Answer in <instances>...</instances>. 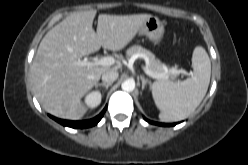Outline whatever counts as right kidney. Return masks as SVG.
<instances>
[{
	"instance_id": "obj_1",
	"label": "right kidney",
	"mask_w": 248,
	"mask_h": 165,
	"mask_svg": "<svg viewBox=\"0 0 248 165\" xmlns=\"http://www.w3.org/2000/svg\"><path fill=\"white\" fill-rule=\"evenodd\" d=\"M85 103L89 108L97 107L101 103V93L99 91L89 93L85 98Z\"/></svg>"
}]
</instances>
